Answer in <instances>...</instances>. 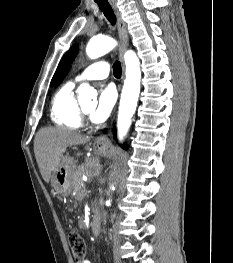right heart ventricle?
I'll return each mask as SVG.
<instances>
[{"label": "right heart ventricle", "mask_w": 233, "mask_h": 263, "mask_svg": "<svg viewBox=\"0 0 233 263\" xmlns=\"http://www.w3.org/2000/svg\"><path fill=\"white\" fill-rule=\"evenodd\" d=\"M52 121L71 129H79L83 125L80 105L74 93V83L63 84L55 93L50 109Z\"/></svg>", "instance_id": "1"}]
</instances>
